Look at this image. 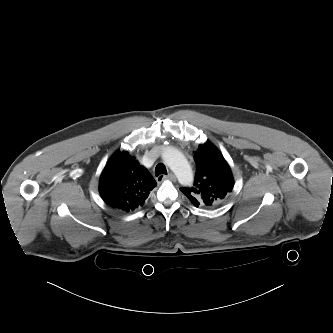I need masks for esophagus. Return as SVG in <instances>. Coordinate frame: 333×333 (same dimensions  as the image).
Masks as SVG:
<instances>
[{"label": "esophagus", "instance_id": "obj_1", "mask_svg": "<svg viewBox=\"0 0 333 333\" xmlns=\"http://www.w3.org/2000/svg\"><path fill=\"white\" fill-rule=\"evenodd\" d=\"M164 180H170V181H176V177L174 174L170 173L168 175H159L157 177V182L158 183H161L163 182Z\"/></svg>", "mask_w": 333, "mask_h": 333}]
</instances>
